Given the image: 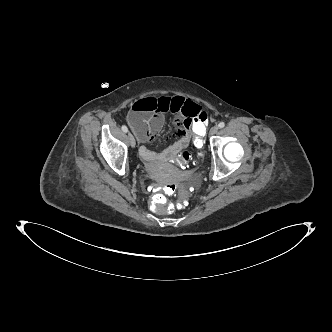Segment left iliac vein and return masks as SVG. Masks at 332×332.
I'll return each instance as SVG.
<instances>
[{"label": "left iliac vein", "instance_id": "left-iliac-vein-1", "mask_svg": "<svg viewBox=\"0 0 332 332\" xmlns=\"http://www.w3.org/2000/svg\"><path fill=\"white\" fill-rule=\"evenodd\" d=\"M218 126H213L211 129H210V135H215L217 132H218Z\"/></svg>", "mask_w": 332, "mask_h": 332}]
</instances>
